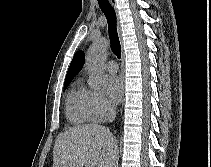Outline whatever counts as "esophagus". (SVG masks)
Returning a JSON list of instances; mask_svg holds the SVG:
<instances>
[{
  "instance_id": "obj_1",
  "label": "esophagus",
  "mask_w": 211,
  "mask_h": 167,
  "mask_svg": "<svg viewBox=\"0 0 211 167\" xmlns=\"http://www.w3.org/2000/svg\"><path fill=\"white\" fill-rule=\"evenodd\" d=\"M111 5L113 6V8L117 11V4H116V0H110ZM124 55L122 54V65H121V73H122V81H123V97H122V104L124 102V93H125V76H124Z\"/></svg>"
}]
</instances>
